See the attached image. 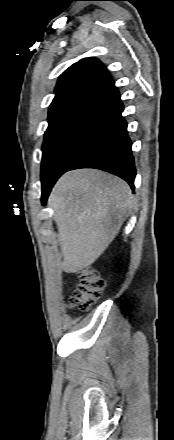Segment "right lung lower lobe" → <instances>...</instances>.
I'll list each match as a JSON object with an SVG mask.
<instances>
[{"label":"right lung lower lobe","instance_id":"98d812e1","mask_svg":"<svg viewBox=\"0 0 174 440\" xmlns=\"http://www.w3.org/2000/svg\"><path fill=\"white\" fill-rule=\"evenodd\" d=\"M98 110L88 137L79 154L66 171L96 168L124 179L134 191L136 176L132 144L118 89L113 86L98 97ZM54 184L42 186V204L46 203Z\"/></svg>","mask_w":174,"mask_h":440}]
</instances>
